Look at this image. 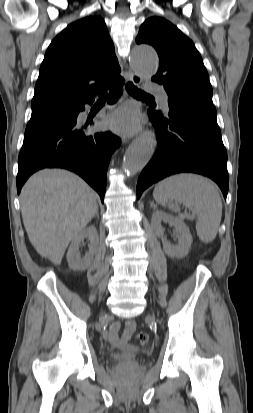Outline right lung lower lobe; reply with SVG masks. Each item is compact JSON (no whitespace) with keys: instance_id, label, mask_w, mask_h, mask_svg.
Wrapping results in <instances>:
<instances>
[{"instance_id":"right-lung-lower-lobe-1","label":"right lung lower lobe","mask_w":253,"mask_h":413,"mask_svg":"<svg viewBox=\"0 0 253 413\" xmlns=\"http://www.w3.org/2000/svg\"><path fill=\"white\" fill-rule=\"evenodd\" d=\"M123 84V78L118 76L109 85L112 89L109 104L117 101ZM83 110L84 105L76 109V119L71 125L24 139L18 158V194L28 177L37 170L60 167L81 176L104 201L108 164L120 142L111 132L88 135L86 127L77 124V116Z\"/></svg>"}]
</instances>
